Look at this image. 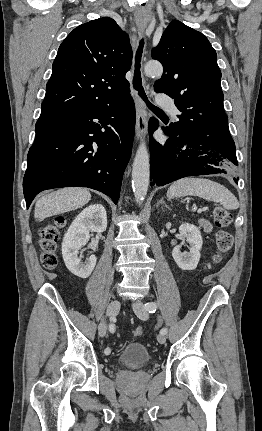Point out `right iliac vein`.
<instances>
[{
  "mask_svg": "<svg viewBox=\"0 0 262 431\" xmlns=\"http://www.w3.org/2000/svg\"><path fill=\"white\" fill-rule=\"evenodd\" d=\"M120 309V301L113 300L109 303L107 307V315L110 317H114ZM107 332V325L105 321H102L98 326V333L101 337H104Z\"/></svg>",
  "mask_w": 262,
  "mask_h": 431,
  "instance_id": "63e3f726",
  "label": "right iliac vein"
}]
</instances>
